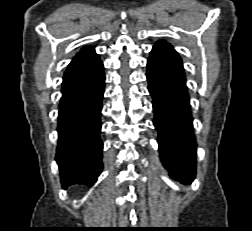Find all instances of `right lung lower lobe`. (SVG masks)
I'll list each match as a JSON object with an SVG mask.
<instances>
[{
    "label": "right lung lower lobe",
    "instance_id": "obj_1",
    "mask_svg": "<svg viewBox=\"0 0 252 231\" xmlns=\"http://www.w3.org/2000/svg\"><path fill=\"white\" fill-rule=\"evenodd\" d=\"M105 75L62 91L58 115L56 160L63 188L92 186L102 172L103 143L99 137Z\"/></svg>",
    "mask_w": 252,
    "mask_h": 231
}]
</instances>
